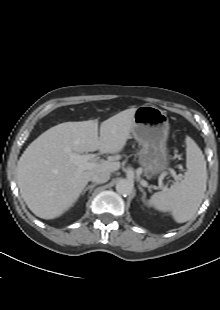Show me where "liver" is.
Wrapping results in <instances>:
<instances>
[{
	"instance_id": "liver-1",
	"label": "liver",
	"mask_w": 220,
	"mask_h": 310,
	"mask_svg": "<svg viewBox=\"0 0 220 310\" xmlns=\"http://www.w3.org/2000/svg\"><path fill=\"white\" fill-rule=\"evenodd\" d=\"M135 111L126 109L103 121L100 136L97 120H88L58 124L36 138L16 169L17 184L28 208L40 218H57L78 200L94 173L119 170L120 162L110 161L81 170L70 162V153L121 152L130 137Z\"/></svg>"
}]
</instances>
